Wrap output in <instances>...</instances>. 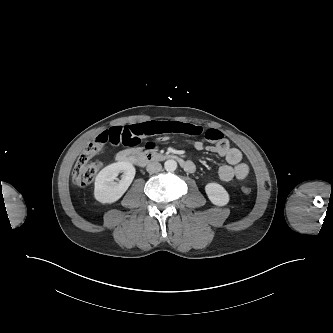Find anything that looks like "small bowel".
I'll return each mask as SVG.
<instances>
[{"instance_id":"small-bowel-1","label":"small bowel","mask_w":333,"mask_h":333,"mask_svg":"<svg viewBox=\"0 0 333 333\" xmlns=\"http://www.w3.org/2000/svg\"><path fill=\"white\" fill-rule=\"evenodd\" d=\"M169 134H181L191 137L204 135L205 139L211 143L208 146L200 140H194L193 146L196 150H207L215 153L226 160V164L219 167L218 175L223 181L232 179L244 180L249 174V166L242 162V153L239 149L231 147L223 134L216 129L204 130L200 126L180 121H148L127 126H116L101 133L97 140L113 145H124L135 147L145 137L161 135L159 140H164V136ZM189 164L188 172L193 173L196 166L192 161Z\"/></svg>"}]
</instances>
